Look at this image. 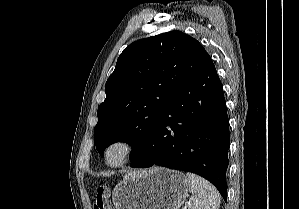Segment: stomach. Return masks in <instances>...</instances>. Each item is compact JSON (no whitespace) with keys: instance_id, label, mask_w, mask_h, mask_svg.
I'll list each match as a JSON object with an SVG mask.
<instances>
[{"instance_id":"0dacf381","label":"stomach","mask_w":299,"mask_h":209,"mask_svg":"<svg viewBox=\"0 0 299 209\" xmlns=\"http://www.w3.org/2000/svg\"><path fill=\"white\" fill-rule=\"evenodd\" d=\"M189 183L176 170L154 167L130 172L116 185V209H179L188 196Z\"/></svg>"}]
</instances>
